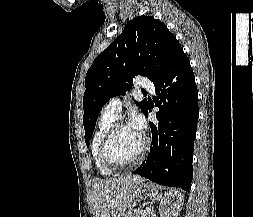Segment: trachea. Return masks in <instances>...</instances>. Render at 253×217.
Masks as SVG:
<instances>
[{"mask_svg": "<svg viewBox=\"0 0 253 217\" xmlns=\"http://www.w3.org/2000/svg\"><path fill=\"white\" fill-rule=\"evenodd\" d=\"M143 94H147V92H146V91H143Z\"/></svg>", "mask_w": 253, "mask_h": 217, "instance_id": "1", "label": "trachea"}]
</instances>
